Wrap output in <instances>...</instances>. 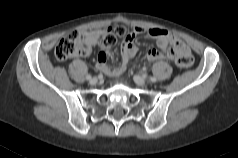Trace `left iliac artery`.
<instances>
[{
	"mask_svg": "<svg viewBox=\"0 0 238 158\" xmlns=\"http://www.w3.org/2000/svg\"><path fill=\"white\" fill-rule=\"evenodd\" d=\"M149 79H150V81H152V82H156V78H155V77H150Z\"/></svg>",
	"mask_w": 238,
	"mask_h": 158,
	"instance_id": "44dca946",
	"label": "left iliac artery"
}]
</instances>
